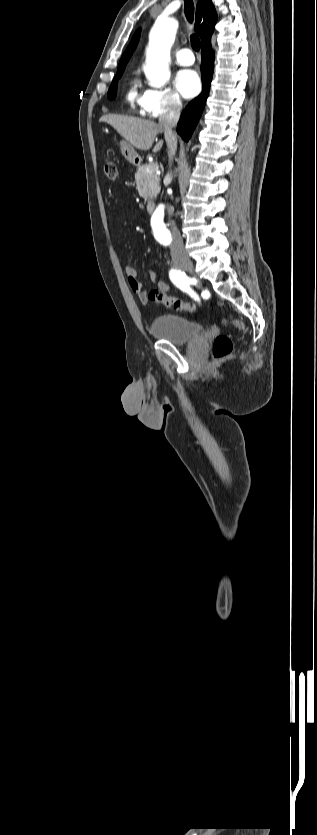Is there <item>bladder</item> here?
<instances>
[{
    "mask_svg": "<svg viewBox=\"0 0 317 835\" xmlns=\"http://www.w3.org/2000/svg\"><path fill=\"white\" fill-rule=\"evenodd\" d=\"M151 333L156 338L181 346L201 337L203 328L199 323L182 316L166 314L152 322Z\"/></svg>",
    "mask_w": 317,
    "mask_h": 835,
    "instance_id": "1",
    "label": "bladder"
}]
</instances>
